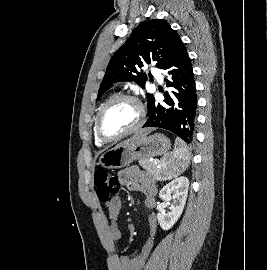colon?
<instances>
[{"instance_id": "colon-1", "label": "colon", "mask_w": 267, "mask_h": 270, "mask_svg": "<svg viewBox=\"0 0 267 270\" xmlns=\"http://www.w3.org/2000/svg\"><path fill=\"white\" fill-rule=\"evenodd\" d=\"M94 184L97 198L103 203L110 201L120 190L119 178L104 169L95 172Z\"/></svg>"}]
</instances>
